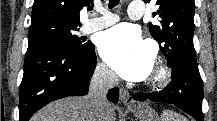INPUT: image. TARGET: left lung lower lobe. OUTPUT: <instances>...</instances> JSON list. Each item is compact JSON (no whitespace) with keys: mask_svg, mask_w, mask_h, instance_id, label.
<instances>
[{"mask_svg":"<svg viewBox=\"0 0 217 121\" xmlns=\"http://www.w3.org/2000/svg\"><path fill=\"white\" fill-rule=\"evenodd\" d=\"M170 67L172 81L167 87L159 92L136 93L134 99L174 104L193 116L196 121H203V82L198 66L187 61H179Z\"/></svg>","mask_w":217,"mask_h":121,"instance_id":"obj_1","label":"left lung lower lobe"}]
</instances>
